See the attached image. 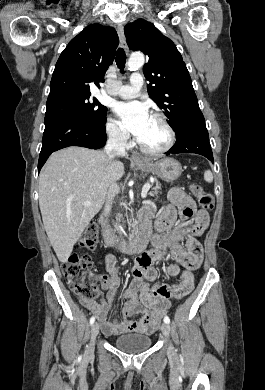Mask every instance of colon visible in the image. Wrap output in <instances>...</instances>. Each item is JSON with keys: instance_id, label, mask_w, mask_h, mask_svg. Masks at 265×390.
<instances>
[{"instance_id": "1", "label": "colon", "mask_w": 265, "mask_h": 390, "mask_svg": "<svg viewBox=\"0 0 265 390\" xmlns=\"http://www.w3.org/2000/svg\"><path fill=\"white\" fill-rule=\"evenodd\" d=\"M191 193L197 198L199 205L204 210H211L214 206L213 196L206 193L198 184H192ZM98 241V225L91 222L86 227L79 245L88 249L96 246ZM62 272L65 276L70 290L82 301L95 300L99 296L97 288V275L93 271L92 260L87 254L73 253L62 265ZM176 288L169 292V296H175Z\"/></svg>"}]
</instances>
